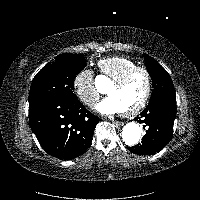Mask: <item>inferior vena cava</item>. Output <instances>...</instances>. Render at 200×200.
Segmentation results:
<instances>
[{
    "instance_id": "1",
    "label": "inferior vena cava",
    "mask_w": 200,
    "mask_h": 200,
    "mask_svg": "<svg viewBox=\"0 0 200 200\" xmlns=\"http://www.w3.org/2000/svg\"><path fill=\"white\" fill-rule=\"evenodd\" d=\"M96 102H97V99H90V100H88V105H94V104H96Z\"/></svg>"
}]
</instances>
